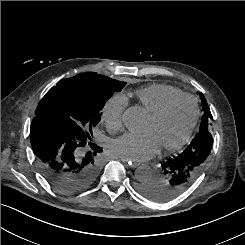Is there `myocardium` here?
<instances>
[{
  "label": "myocardium",
  "instance_id": "obj_1",
  "mask_svg": "<svg viewBox=\"0 0 245 245\" xmlns=\"http://www.w3.org/2000/svg\"><path fill=\"white\" fill-rule=\"evenodd\" d=\"M186 99L191 100L194 103L195 110H194V116H193L192 122H191L190 126L188 127L184 136L178 142H176L172 145L161 147V149L163 151H167V152L176 151L188 143V141L190 140V138H191V136H192V134L196 128V125L198 123L199 116H200V107H199L198 99L195 96L188 95V94L177 96V97L169 99L168 101L163 103L159 108H157L155 111L148 114V117L150 119L157 120V119L161 118L174 104H176L182 100H186Z\"/></svg>",
  "mask_w": 245,
  "mask_h": 245
}]
</instances>
